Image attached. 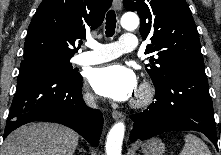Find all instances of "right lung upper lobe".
Returning <instances> with one entry per match:
<instances>
[{"label": "right lung upper lobe", "instance_id": "1", "mask_svg": "<svg viewBox=\"0 0 221 155\" xmlns=\"http://www.w3.org/2000/svg\"><path fill=\"white\" fill-rule=\"evenodd\" d=\"M112 0H43L28 28L24 56L49 53L73 57L77 39L104 20Z\"/></svg>", "mask_w": 221, "mask_h": 155}]
</instances>
